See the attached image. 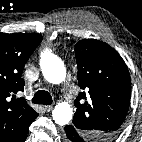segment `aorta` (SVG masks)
Returning <instances> with one entry per match:
<instances>
[{"label":"aorta","mask_w":142,"mask_h":142,"mask_svg":"<svg viewBox=\"0 0 142 142\" xmlns=\"http://www.w3.org/2000/svg\"><path fill=\"white\" fill-rule=\"evenodd\" d=\"M40 67L44 78L52 84H59L66 77V68L62 60L50 52H43L40 57ZM73 109L66 102L58 103L53 111L52 117L56 124L66 125L70 122Z\"/></svg>","instance_id":"obj_1"}]
</instances>
